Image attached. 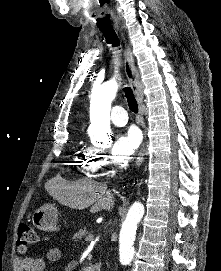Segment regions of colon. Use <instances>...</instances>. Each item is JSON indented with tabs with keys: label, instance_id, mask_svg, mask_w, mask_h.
<instances>
[{
	"label": "colon",
	"instance_id": "obj_1",
	"mask_svg": "<svg viewBox=\"0 0 221 271\" xmlns=\"http://www.w3.org/2000/svg\"><path fill=\"white\" fill-rule=\"evenodd\" d=\"M38 242V236L32 226L20 223L16 239V251L20 255H26Z\"/></svg>",
	"mask_w": 221,
	"mask_h": 271
}]
</instances>
